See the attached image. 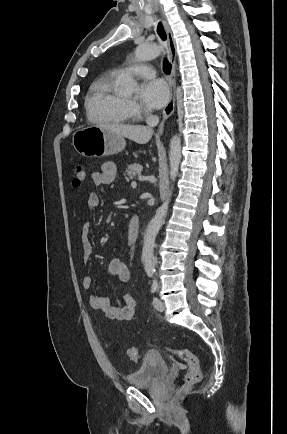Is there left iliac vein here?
Listing matches in <instances>:
<instances>
[{"mask_svg":"<svg viewBox=\"0 0 287 434\" xmlns=\"http://www.w3.org/2000/svg\"><path fill=\"white\" fill-rule=\"evenodd\" d=\"M153 305H154L155 309L158 310V311H160V312H162V311L165 310V304H164V302L160 298H158V297H154V299H153Z\"/></svg>","mask_w":287,"mask_h":434,"instance_id":"4c4485c4","label":"left iliac vein"}]
</instances>
